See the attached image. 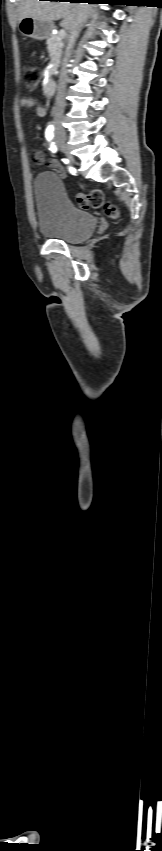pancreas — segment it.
<instances>
[{
    "label": "pancreas",
    "mask_w": 162,
    "mask_h": 851,
    "mask_svg": "<svg viewBox=\"0 0 162 851\" xmlns=\"http://www.w3.org/2000/svg\"><path fill=\"white\" fill-rule=\"evenodd\" d=\"M46 43L49 55L51 57V64L53 65V67L50 69V73L53 75L56 73L57 67L60 64V57L64 42L60 35H50Z\"/></svg>",
    "instance_id": "obj_1"
}]
</instances>
